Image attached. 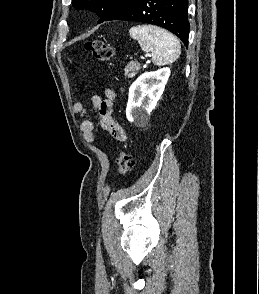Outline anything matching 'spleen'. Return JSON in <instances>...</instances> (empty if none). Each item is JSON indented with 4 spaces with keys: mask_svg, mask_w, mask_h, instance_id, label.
<instances>
[{
    "mask_svg": "<svg viewBox=\"0 0 259 294\" xmlns=\"http://www.w3.org/2000/svg\"><path fill=\"white\" fill-rule=\"evenodd\" d=\"M130 37L137 40L144 52L152 53L157 66L175 62L181 53L179 40L168 31L153 25H138L129 30Z\"/></svg>",
    "mask_w": 259,
    "mask_h": 294,
    "instance_id": "spleen-1",
    "label": "spleen"
}]
</instances>
